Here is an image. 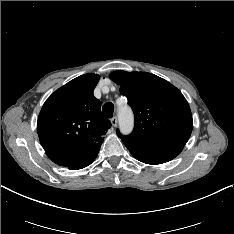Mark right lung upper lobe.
Returning a JSON list of instances; mask_svg holds the SVG:
<instances>
[{"instance_id":"right-lung-upper-lobe-1","label":"right lung upper lobe","mask_w":234,"mask_h":234,"mask_svg":"<svg viewBox=\"0 0 234 234\" xmlns=\"http://www.w3.org/2000/svg\"><path fill=\"white\" fill-rule=\"evenodd\" d=\"M99 79L89 73L71 80L50 95L39 113V140L60 166L75 169L96 157L111 126L93 95Z\"/></svg>"}]
</instances>
